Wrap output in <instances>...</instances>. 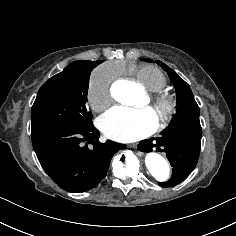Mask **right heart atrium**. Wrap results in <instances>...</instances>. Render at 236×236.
<instances>
[{
    "mask_svg": "<svg viewBox=\"0 0 236 236\" xmlns=\"http://www.w3.org/2000/svg\"><path fill=\"white\" fill-rule=\"evenodd\" d=\"M115 78L114 71L106 65L92 72L88 85V98L94 110L103 111L111 105L112 84Z\"/></svg>",
    "mask_w": 236,
    "mask_h": 236,
    "instance_id": "1",
    "label": "right heart atrium"
}]
</instances>
